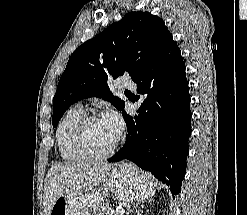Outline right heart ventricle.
<instances>
[{
  "label": "right heart ventricle",
  "mask_w": 247,
  "mask_h": 215,
  "mask_svg": "<svg viewBox=\"0 0 247 215\" xmlns=\"http://www.w3.org/2000/svg\"><path fill=\"white\" fill-rule=\"evenodd\" d=\"M83 115L81 106H74L69 109L61 118L56 129V144L59 154L65 162H79L84 158L76 151L72 132L76 122Z\"/></svg>",
  "instance_id": "obj_1"
}]
</instances>
